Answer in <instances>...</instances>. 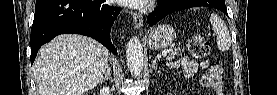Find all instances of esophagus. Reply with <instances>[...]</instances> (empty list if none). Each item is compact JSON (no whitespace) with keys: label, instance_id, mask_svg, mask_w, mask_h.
<instances>
[{"label":"esophagus","instance_id":"obj_1","mask_svg":"<svg viewBox=\"0 0 277 95\" xmlns=\"http://www.w3.org/2000/svg\"><path fill=\"white\" fill-rule=\"evenodd\" d=\"M134 26L136 29H140L143 26V18L140 14L132 12Z\"/></svg>","mask_w":277,"mask_h":95}]
</instances>
